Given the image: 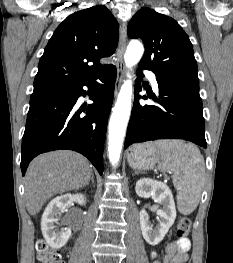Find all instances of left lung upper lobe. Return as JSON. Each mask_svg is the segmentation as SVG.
Returning <instances> with one entry per match:
<instances>
[{
  "mask_svg": "<svg viewBox=\"0 0 233 263\" xmlns=\"http://www.w3.org/2000/svg\"><path fill=\"white\" fill-rule=\"evenodd\" d=\"M130 38H141L145 53L139 66L163 80L198 85L197 63L188 35L172 18L142 8L128 24Z\"/></svg>",
  "mask_w": 233,
  "mask_h": 263,
  "instance_id": "5c2ea615",
  "label": "left lung upper lobe"
}]
</instances>
